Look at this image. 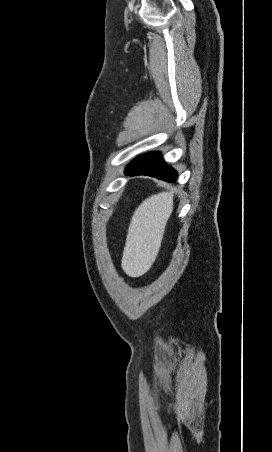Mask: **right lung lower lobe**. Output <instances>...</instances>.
<instances>
[{
    "label": "right lung lower lobe",
    "mask_w": 272,
    "mask_h": 452,
    "mask_svg": "<svg viewBox=\"0 0 272 452\" xmlns=\"http://www.w3.org/2000/svg\"><path fill=\"white\" fill-rule=\"evenodd\" d=\"M126 175H146L173 183L177 179V172L166 165L158 152H150L134 159L125 170Z\"/></svg>",
    "instance_id": "98d812e1"
}]
</instances>
